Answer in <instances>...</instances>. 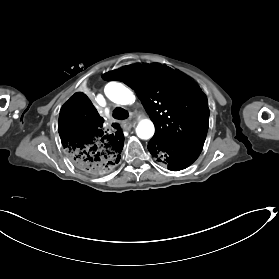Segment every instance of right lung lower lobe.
<instances>
[{"instance_id":"1","label":"right lung lower lobe","mask_w":279,"mask_h":279,"mask_svg":"<svg viewBox=\"0 0 279 279\" xmlns=\"http://www.w3.org/2000/svg\"><path fill=\"white\" fill-rule=\"evenodd\" d=\"M103 118L83 93L62 106L58 131L71 162L79 170L96 175L111 172L121 158L124 135L118 123L103 126Z\"/></svg>"}]
</instances>
